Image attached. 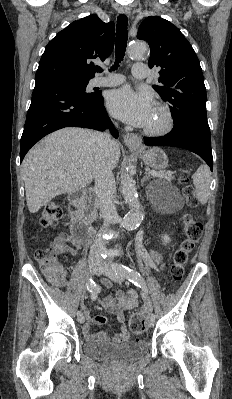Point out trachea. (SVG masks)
<instances>
[{
	"mask_svg": "<svg viewBox=\"0 0 232 399\" xmlns=\"http://www.w3.org/2000/svg\"><path fill=\"white\" fill-rule=\"evenodd\" d=\"M128 19L126 15H119L117 18V28H116V43H115V55L116 61L112 70H116L121 60H123L125 56L127 40H128ZM98 72H102L100 67L97 68Z\"/></svg>",
	"mask_w": 232,
	"mask_h": 399,
	"instance_id": "3493384b",
	"label": "trachea"
}]
</instances>
